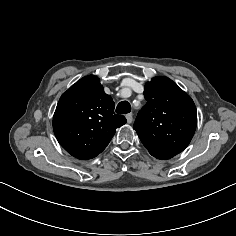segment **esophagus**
I'll list each match as a JSON object with an SVG mask.
<instances>
[{
    "instance_id": "1",
    "label": "esophagus",
    "mask_w": 236,
    "mask_h": 236,
    "mask_svg": "<svg viewBox=\"0 0 236 236\" xmlns=\"http://www.w3.org/2000/svg\"><path fill=\"white\" fill-rule=\"evenodd\" d=\"M125 117H126L128 123H132V121H133V114L132 113L126 114Z\"/></svg>"
}]
</instances>
